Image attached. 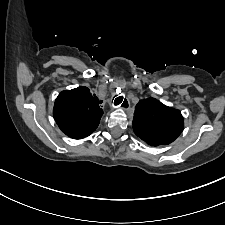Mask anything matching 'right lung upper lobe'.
Instances as JSON below:
<instances>
[{"label":"right lung upper lobe","instance_id":"cb5924a9","mask_svg":"<svg viewBox=\"0 0 225 225\" xmlns=\"http://www.w3.org/2000/svg\"><path fill=\"white\" fill-rule=\"evenodd\" d=\"M87 87L62 91L55 100L53 116L59 128L73 139L89 136L98 127L103 110Z\"/></svg>","mask_w":225,"mask_h":225}]
</instances>
